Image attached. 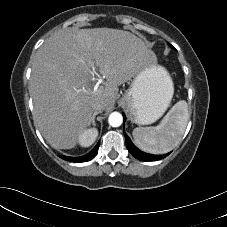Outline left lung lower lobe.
Here are the masks:
<instances>
[{
	"label": "left lung lower lobe",
	"mask_w": 227,
	"mask_h": 227,
	"mask_svg": "<svg viewBox=\"0 0 227 227\" xmlns=\"http://www.w3.org/2000/svg\"><path fill=\"white\" fill-rule=\"evenodd\" d=\"M124 120H125V115L123 114ZM124 132V130H123ZM124 136L126 139V146L128 151L131 153V155L133 157H135L138 160L141 161H156V160H160L166 156H168L170 153L165 154V155H152V154H148L145 152H142L141 150H139L130 140V138L126 135V133L124 132Z\"/></svg>",
	"instance_id": "0a47b994"
}]
</instances>
